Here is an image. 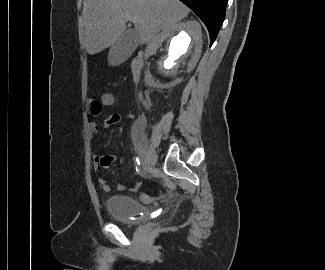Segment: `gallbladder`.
I'll list each match as a JSON object with an SVG mask.
<instances>
[{"mask_svg": "<svg viewBox=\"0 0 325 270\" xmlns=\"http://www.w3.org/2000/svg\"><path fill=\"white\" fill-rule=\"evenodd\" d=\"M140 40L135 30L125 31L112 45L108 61L111 65H118L126 61L138 46Z\"/></svg>", "mask_w": 325, "mask_h": 270, "instance_id": "obj_1", "label": "gallbladder"}]
</instances>
